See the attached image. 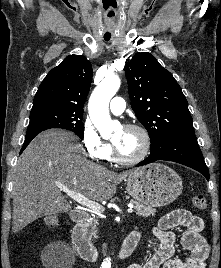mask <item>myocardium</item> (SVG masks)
<instances>
[{"label":"myocardium","mask_w":221,"mask_h":268,"mask_svg":"<svg viewBox=\"0 0 221 268\" xmlns=\"http://www.w3.org/2000/svg\"><path fill=\"white\" fill-rule=\"evenodd\" d=\"M123 129L138 131L143 137V141H144L143 148H142L141 152L136 157L125 158L120 154V152L118 151V149L115 146V144L112 143L113 144V151H114L115 159H116V161L118 163H120L122 165H135V164H138L141 161H143L147 157L149 152H150L151 144H152L151 136H150L148 130L145 127H143L142 125H139V124H126V125L123 126Z\"/></svg>","instance_id":"myocardium-1"}]
</instances>
